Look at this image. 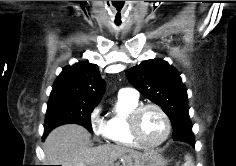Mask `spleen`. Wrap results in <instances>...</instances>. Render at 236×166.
<instances>
[{"label": "spleen", "mask_w": 236, "mask_h": 166, "mask_svg": "<svg viewBox=\"0 0 236 166\" xmlns=\"http://www.w3.org/2000/svg\"><path fill=\"white\" fill-rule=\"evenodd\" d=\"M185 164L184 166H194V163L192 161V157H190L189 155L185 156Z\"/></svg>", "instance_id": "3e777b00"}]
</instances>
